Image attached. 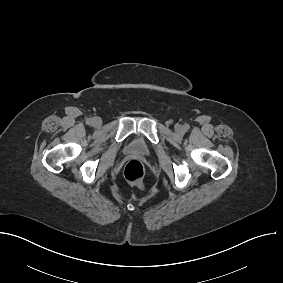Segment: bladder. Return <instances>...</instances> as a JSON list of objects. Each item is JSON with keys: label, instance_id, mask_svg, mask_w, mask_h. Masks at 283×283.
Here are the masks:
<instances>
[{"label": "bladder", "instance_id": "1", "mask_svg": "<svg viewBox=\"0 0 283 283\" xmlns=\"http://www.w3.org/2000/svg\"><path fill=\"white\" fill-rule=\"evenodd\" d=\"M125 151L129 154L148 156L151 153V148L143 137L138 136L126 144Z\"/></svg>", "mask_w": 283, "mask_h": 283}]
</instances>
